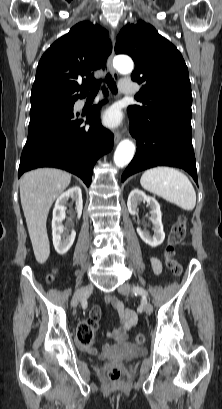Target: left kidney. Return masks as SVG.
<instances>
[{
    "mask_svg": "<svg viewBox=\"0 0 222 409\" xmlns=\"http://www.w3.org/2000/svg\"><path fill=\"white\" fill-rule=\"evenodd\" d=\"M142 201L147 202V204L151 208L150 221L153 224L154 235L151 236L149 232L141 230L139 227L137 228V233L146 244H148L151 247H156L162 244L165 238V233L163 230L161 220L162 214L160 210V205L157 202V200L153 197L147 196L143 191L139 189H134L128 196L127 200L128 211L131 215H136L138 211V205Z\"/></svg>",
    "mask_w": 222,
    "mask_h": 409,
    "instance_id": "1",
    "label": "left kidney"
}]
</instances>
